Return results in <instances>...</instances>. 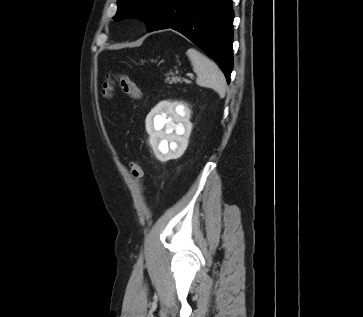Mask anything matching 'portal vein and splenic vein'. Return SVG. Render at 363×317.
Returning <instances> with one entry per match:
<instances>
[{
	"label": "portal vein and splenic vein",
	"mask_w": 363,
	"mask_h": 317,
	"mask_svg": "<svg viewBox=\"0 0 363 317\" xmlns=\"http://www.w3.org/2000/svg\"><path fill=\"white\" fill-rule=\"evenodd\" d=\"M187 76H188L189 78H191V79L194 77V75H193L192 73H188V74H187Z\"/></svg>",
	"instance_id": "18ae733b"
}]
</instances>
